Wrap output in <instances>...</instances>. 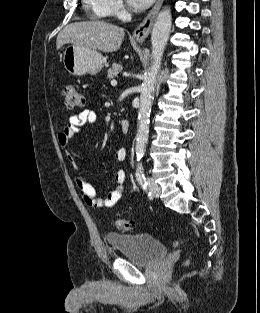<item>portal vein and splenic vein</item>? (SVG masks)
<instances>
[{"label": "portal vein and splenic vein", "mask_w": 260, "mask_h": 313, "mask_svg": "<svg viewBox=\"0 0 260 313\" xmlns=\"http://www.w3.org/2000/svg\"><path fill=\"white\" fill-rule=\"evenodd\" d=\"M111 85H112V86H116V85H117V81H116V80H112V81H111Z\"/></svg>", "instance_id": "portal-vein-and-splenic-vein-1"}]
</instances>
